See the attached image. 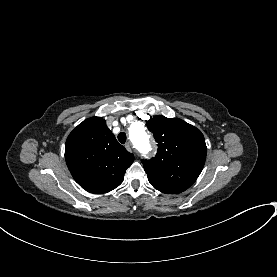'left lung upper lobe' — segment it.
Masks as SVG:
<instances>
[{
    "label": "left lung upper lobe",
    "mask_w": 277,
    "mask_h": 277,
    "mask_svg": "<svg viewBox=\"0 0 277 277\" xmlns=\"http://www.w3.org/2000/svg\"><path fill=\"white\" fill-rule=\"evenodd\" d=\"M158 143V152L142 160L150 184L163 193L188 189L201 173L207 154L203 134L181 119L151 117L146 123Z\"/></svg>",
    "instance_id": "obj_1"
}]
</instances>
